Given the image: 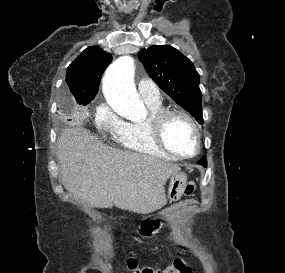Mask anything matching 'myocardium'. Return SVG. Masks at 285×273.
<instances>
[{"instance_id": "myocardium-1", "label": "myocardium", "mask_w": 285, "mask_h": 273, "mask_svg": "<svg viewBox=\"0 0 285 273\" xmlns=\"http://www.w3.org/2000/svg\"><path fill=\"white\" fill-rule=\"evenodd\" d=\"M174 115H180L184 117L189 123L192 125L195 135H196V148L192 154L183 155L173 151L165 142L164 139V127L168 119ZM149 127L152 134L153 139L158 144V146L163 149L168 154L174 156L179 159H190L197 156L202 147V136H201V128L196 119L187 111L179 108L173 109H163L151 115L149 117Z\"/></svg>"}]
</instances>
